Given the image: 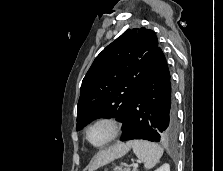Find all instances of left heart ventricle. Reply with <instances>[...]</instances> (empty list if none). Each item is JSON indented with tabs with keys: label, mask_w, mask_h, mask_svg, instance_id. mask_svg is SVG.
<instances>
[{
	"label": "left heart ventricle",
	"mask_w": 223,
	"mask_h": 171,
	"mask_svg": "<svg viewBox=\"0 0 223 171\" xmlns=\"http://www.w3.org/2000/svg\"><path fill=\"white\" fill-rule=\"evenodd\" d=\"M110 134H111V129L109 128V126L105 124H100L95 126L90 131L89 138L94 144H101L105 140H107Z\"/></svg>",
	"instance_id": "left-heart-ventricle-1"
}]
</instances>
